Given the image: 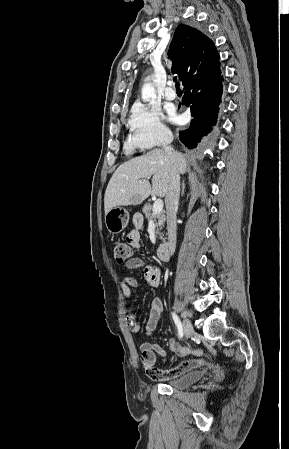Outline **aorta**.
I'll list each match as a JSON object with an SVG mask.
<instances>
[{
    "instance_id": "762f6f07",
    "label": "aorta",
    "mask_w": 289,
    "mask_h": 449,
    "mask_svg": "<svg viewBox=\"0 0 289 449\" xmlns=\"http://www.w3.org/2000/svg\"><path fill=\"white\" fill-rule=\"evenodd\" d=\"M154 96H155V88L150 83H146L142 88V100L148 101L150 98Z\"/></svg>"
}]
</instances>
